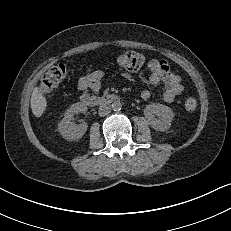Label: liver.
Listing matches in <instances>:
<instances>
[{
	"label": "liver",
	"mask_w": 231,
	"mask_h": 231,
	"mask_svg": "<svg viewBox=\"0 0 231 231\" xmlns=\"http://www.w3.org/2000/svg\"><path fill=\"white\" fill-rule=\"evenodd\" d=\"M30 105H31L32 113L36 117H41L43 115L47 107V99L43 95L39 87L34 88L31 95Z\"/></svg>",
	"instance_id": "obj_1"
}]
</instances>
